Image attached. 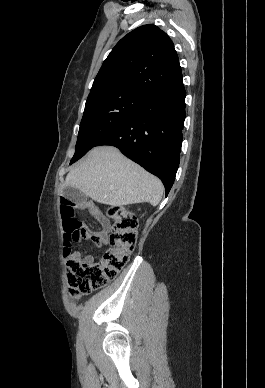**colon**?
Returning a JSON list of instances; mask_svg holds the SVG:
<instances>
[{
    "instance_id": "5ec220e1",
    "label": "colon",
    "mask_w": 265,
    "mask_h": 388,
    "mask_svg": "<svg viewBox=\"0 0 265 388\" xmlns=\"http://www.w3.org/2000/svg\"><path fill=\"white\" fill-rule=\"evenodd\" d=\"M61 217L64 228V256L67 257L69 293L80 297L105 287L127 264L136 246V220L124 207L109 206L107 215L113 221L109 236L110 248L97 263H86L73 256L72 244L88 238V231L75 218L73 202L61 199Z\"/></svg>"
}]
</instances>
